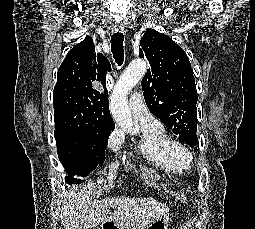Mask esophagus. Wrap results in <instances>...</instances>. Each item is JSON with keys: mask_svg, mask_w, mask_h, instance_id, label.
Wrapping results in <instances>:
<instances>
[{"mask_svg": "<svg viewBox=\"0 0 255 229\" xmlns=\"http://www.w3.org/2000/svg\"><path fill=\"white\" fill-rule=\"evenodd\" d=\"M124 25L123 24H118L117 26H115V31L116 32H121V33H124Z\"/></svg>", "mask_w": 255, "mask_h": 229, "instance_id": "esophagus-1", "label": "esophagus"}]
</instances>
